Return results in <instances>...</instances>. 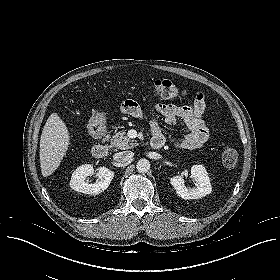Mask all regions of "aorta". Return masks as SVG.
I'll use <instances>...</instances> for the list:
<instances>
[{
	"instance_id": "1",
	"label": "aorta",
	"mask_w": 280,
	"mask_h": 280,
	"mask_svg": "<svg viewBox=\"0 0 280 280\" xmlns=\"http://www.w3.org/2000/svg\"><path fill=\"white\" fill-rule=\"evenodd\" d=\"M136 169L139 173H146L150 169V162L147 159H140L137 162Z\"/></svg>"
}]
</instances>
